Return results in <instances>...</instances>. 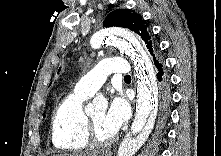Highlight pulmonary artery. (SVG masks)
Returning a JSON list of instances; mask_svg holds the SVG:
<instances>
[{"instance_id": "pulmonary-artery-1", "label": "pulmonary artery", "mask_w": 221, "mask_h": 156, "mask_svg": "<svg viewBox=\"0 0 221 156\" xmlns=\"http://www.w3.org/2000/svg\"><path fill=\"white\" fill-rule=\"evenodd\" d=\"M130 72V64L124 58H106L77 82L75 90L87 96H92L104 84L109 75L125 76L129 75Z\"/></svg>"}]
</instances>
